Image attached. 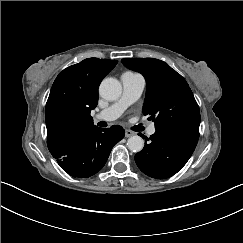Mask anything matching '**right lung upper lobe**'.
<instances>
[{"label":"right lung upper lobe","instance_id":"1","mask_svg":"<svg viewBox=\"0 0 243 243\" xmlns=\"http://www.w3.org/2000/svg\"><path fill=\"white\" fill-rule=\"evenodd\" d=\"M117 60L88 58L64 69L46 103L47 145L51 153L79 132L94 126L90 112L98 103V87Z\"/></svg>","mask_w":243,"mask_h":243}]
</instances>
